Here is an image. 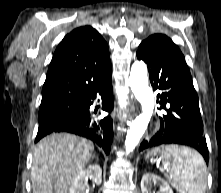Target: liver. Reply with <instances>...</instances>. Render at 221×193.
Listing matches in <instances>:
<instances>
[{"mask_svg":"<svg viewBox=\"0 0 221 193\" xmlns=\"http://www.w3.org/2000/svg\"><path fill=\"white\" fill-rule=\"evenodd\" d=\"M93 151L90 141L72 134H52L39 141L31 168L33 193H68Z\"/></svg>","mask_w":221,"mask_h":193,"instance_id":"liver-1","label":"liver"}]
</instances>
